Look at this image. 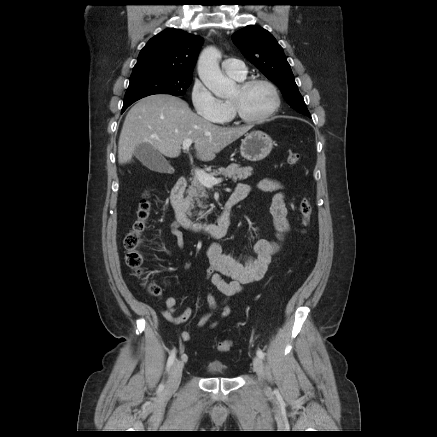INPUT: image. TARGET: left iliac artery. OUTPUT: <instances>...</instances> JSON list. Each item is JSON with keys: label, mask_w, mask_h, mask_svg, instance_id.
Listing matches in <instances>:
<instances>
[{"label": "left iliac artery", "mask_w": 437, "mask_h": 437, "mask_svg": "<svg viewBox=\"0 0 437 437\" xmlns=\"http://www.w3.org/2000/svg\"><path fill=\"white\" fill-rule=\"evenodd\" d=\"M257 356L259 357V358H261V359H264V357H265V354H264V352L262 351V350H257Z\"/></svg>", "instance_id": "1"}]
</instances>
